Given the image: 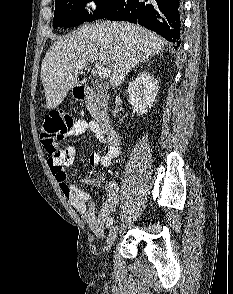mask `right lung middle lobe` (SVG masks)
<instances>
[{
    "label": "right lung middle lobe",
    "mask_w": 233,
    "mask_h": 294,
    "mask_svg": "<svg viewBox=\"0 0 233 294\" xmlns=\"http://www.w3.org/2000/svg\"><path fill=\"white\" fill-rule=\"evenodd\" d=\"M92 0H55L53 27H73L92 21L94 18L106 17L117 0H94L97 9L93 15L85 9L86 3Z\"/></svg>",
    "instance_id": "right-lung-middle-lobe-1"
}]
</instances>
